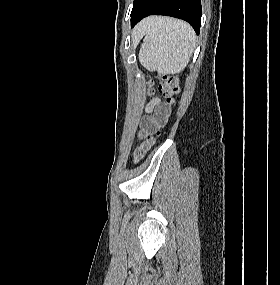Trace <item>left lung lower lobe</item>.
<instances>
[{"mask_svg": "<svg viewBox=\"0 0 280 285\" xmlns=\"http://www.w3.org/2000/svg\"><path fill=\"white\" fill-rule=\"evenodd\" d=\"M201 0H136L131 12V27L149 15H167L190 23L200 32Z\"/></svg>", "mask_w": 280, "mask_h": 285, "instance_id": "1", "label": "left lung lower lobe"}]
</instances>
